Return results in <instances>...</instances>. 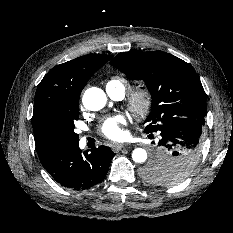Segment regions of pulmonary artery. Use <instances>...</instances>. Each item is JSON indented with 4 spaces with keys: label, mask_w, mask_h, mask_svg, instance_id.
<instances>
[{
    "label": "pulmonary artery",
    "mask_w": 233,
    "mask_h": 233,
    "mask_svg": "<svg viewBox=\"0 0 233 233\" xmlns=\"http://www.w3.org/2000/svg\"><path fill=\"white\" fill-rule=\"evenodd\" d=\"M113 98L115 99H121L123 97V94H114V95H111Z\"/></svg>",
    "instance_id": "pulmonary-artery-1"
}]
</instances>
